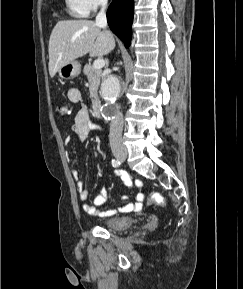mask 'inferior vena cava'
<instances>
[{
  "label": "inferior vena cava",
  "mask_w": 243,
  "mask_h": 289,
  "mask_svg": "<svg viewBox=\"0 0 243 289\" xmlns=\"http://www.w3.org/2000/svg\"><path fill=\"white\" fill-rule=\"evenodd\" d=\"M99 1L101 10L96 16V25L103 29H106L107 19L105 7L107 4V0H99ZM123 124H124L123 115L121 112L117 111L112 117L110 124L109 142L112 153L126 152V147L122 141Z\"/></svg>",
  "instance_id": "obj_1"
}]
</instances>
